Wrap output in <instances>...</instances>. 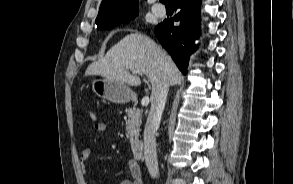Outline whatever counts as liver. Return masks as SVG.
<instances>
[{
  "mask_svg": "<svg viewBox=\"0 0 293 184\" xmlns=\"http://www.w3.org/2000/svg\"><path fill=\"white\" fill-rule=\"evenodd\" d=\"M132 70H139L148 76L152 94L164 82L174 86L183 81L181 72L167 52L141 33H132L121 39L104 57L91 63L85 75H101L139 86L140 78L131 74Z\"/></svg>",
  "mask_w": 293,
  "mask_h": 184,
  "instance_id": "liver-1",
  "label": "liver"
}]
</instances>
